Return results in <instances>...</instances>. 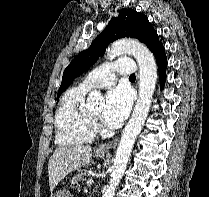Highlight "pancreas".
I'll return each mask as SVG.
<instances>
[{"instance_id":"cf45deb5","label":"pancreas","mask_w":209,"mask_h":197,"mask_svg":"<svg viewBox=\"0 0 209 197\" xmlns=\"http://www.w3.org/2000/svg\"><path fill=\"white\" fill-rule=\"evenodd\" d=\"M83 173H80L78 175H75L72 180H71V187L72 188H77L79 186V182L81 181L83 177Z\"/></svg>"}]
</instances>
